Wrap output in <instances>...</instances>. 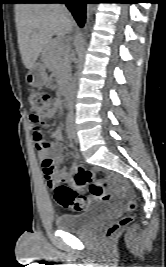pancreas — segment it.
Returning a JSON list of instances; mask_svg holds the SVG:
<instances>
[{
  "instance_id": "1",
  "label": "pancreas",
  "mask_w": 166,
  "mask_h": 267,
  "mask_svg": "<svg viewBox=\"0 0 166 267\" xmlns=\"http://www.w3.org/2000/svg\"><path fill=\"white\" fill-rule=\"evenodd\" d=\"M69 46L61 40H52L43 50L42 60L48 68L53 69L59 79L63 80L69 71Z\"/></svg>"
}]
</instances>
